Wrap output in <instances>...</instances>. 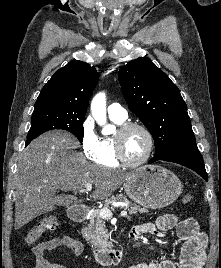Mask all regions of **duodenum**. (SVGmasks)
I'll list each match as a JSON object with an SVG mask.
<instances>
[{
  "label": "duodenum",
  "instance_id": "duodenum-1",
  "mask_svg": "<svg viewBox=\"0 0 221 268\" xmlns=\"http://www.w3.org/2000/svg\"><path fill=\"white\" fill-rule=\"evenodd\" d=\"M89 210L85 206H75L69 210V217L74 222H83L88 216ZM130 240L135 239V235L131 232ZM126 253L125 248L105 249L93 248L92 255L96 262L101 265H118L124 258Z\"/></svg>",
  "mask_w": 221,
  "mask_h": 268
}]
</instances>
